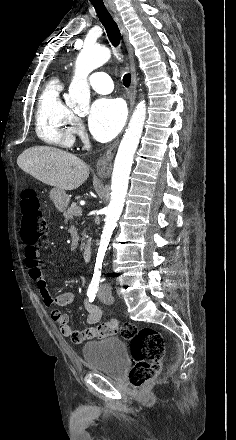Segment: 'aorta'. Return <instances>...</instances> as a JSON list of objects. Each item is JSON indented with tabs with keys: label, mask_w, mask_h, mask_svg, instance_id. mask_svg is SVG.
<instances>
[{
	"label": "aorta",
	"mask_w": 236,
	"mask_h": 440,
	"mask_svg": "<svg viewBox=\"0 0 236 440\" xmlns=\"http://www.w3.org/2000/svg\"><path fill=\"white\" fill-rule=\"evenodd\" d=\"M110 57L111 51L106 47H83L76 59L75 73L66 98L67 106L74 108L77 111H86L88 109L90 102V86L87 77L94 69L106 63ZM145 119L146 104L143 100L138 103L133 112L114 161L111 178V201L105 210V224L96 256L94 280L98 279L100 276L105 253L124 207L133 157L142 135Z\"/></svg>",
	"instance_id": "762f6f07"
}]
</instances>
